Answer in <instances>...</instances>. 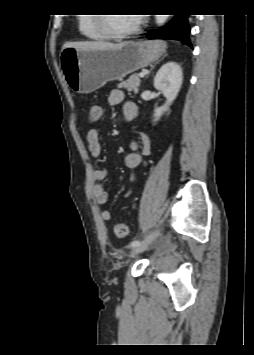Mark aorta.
Here are the masks:
<instances>
[{
  "label": "aorta",
  "instance_id": "1",
  "mask_svg": "<svg viewBox=\"0 0 254 355\" xmlns=\"http://www.w3.org/2000/svg\"><path fill=\"white\" fill-rule=\"evenodd\" d=\"M169 15H156V23L159 26H162L168 19Z\"/></svg>",
  "mask_w": 254,
  "mask_h": 355
}]
</instances>
